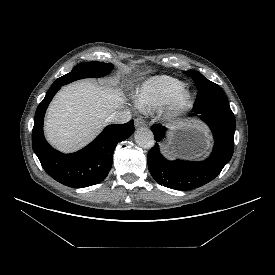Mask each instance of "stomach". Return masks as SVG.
<instances>
[{
    "mask_svg": "<svg viewBox=\"0 0 275 275\" xmlns=\"http://www.w3.org/2000/svg\"><path fill=\"white\" fill-rule=\"evenodd\" d=\"M210 138L206 130L200 125H190L186 128H177L171 140L164 146L168 155L177 153L184 157H198L206 152Z\"/></svg>",
    "mask_w": 275,
    "mask_h": 275,
    "instance_id": "stomach-1",
    "label": "stomach"
}]
</instances>
